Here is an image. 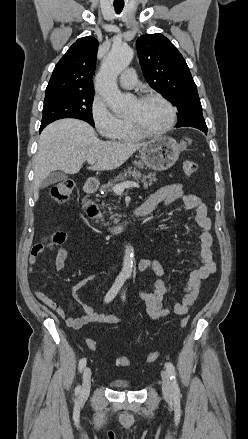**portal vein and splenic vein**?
Segmentation results:
<instances>
[{"mask_svg":"<svg viewBox=\"0 0 248 439\" xmlns=\"http://www.w3.org/2000/svg\"><path fill=\"white\" fill-rule=\"evenodd\" d=\"M88 163H89L90 165H93V164L95 163V160L90 159V160H88ZM133 187H134V188H139L140 186H139V184L136 183V182H133V181H126V182H123V183H120V184H116V185H114L113 188H112V190H113L114 193H116V194H122L123 191H124L125 189H127V188H133Z\"/></svg>","mask_w":248,"mask_h":439,"instance_id":"18ae733b","label":"portal vein and splenic vein"}]
</instances>
